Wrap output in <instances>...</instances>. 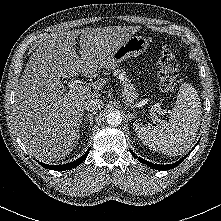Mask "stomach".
<instances>
[{
	"label": "stomach",
	"instance_id": "stomach-1",
	"mask_svg": "<svg viewBox=\"0 0 221 221\" xmlns=\"http://www.w3.org/2000/svg\"><path fill=\"white\" fill-rule=\"evenodd\" d=\"M148 40L142 36L129 37L122 43L110 56V60L106 63V69H115L119 63L127 58L137 57L146 51Z\"/></svg>",
	"mask_w": 221,
	"mask_h": 221
}]
</instances>
